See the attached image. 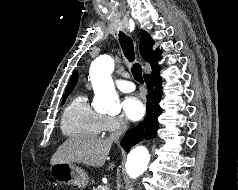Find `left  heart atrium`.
Returning <instances> with one entry per match:
<instances>
[{
	"label": "left heart atrium",
	"mask_w": 238,
	"mask_h": 190,
	"mask_svg": "<svg viewBox=\"0 0 238 190\" xmlns=\"http://www.w3.org/2000/svg\"><path fill=\"white\" fill-rule=\"evenodd\" d=\"M125 116L131 121L140 120L145 114V106L137 96H128L122 103Z\"/></svg>",
	"instance_id": "39dd6f15"
}]
</instances>
